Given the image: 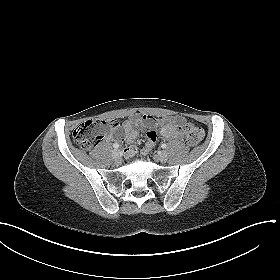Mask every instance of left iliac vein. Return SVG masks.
I'll use <instances>...</instances> for the list:
<instances>
[{
	"label": "left iliac vein",
	"instance_id": "4c4485c4",
	"mask_svg": "<svg viewBox=\"0 0 280 280\" xmlns=\"http://www.w3.org/2000/svg\"><path fill=\"white\" fill-rule=\"evenodd\" d=\"M157 159L162 162V163H165L167 160H168V155L165 151H162L161 153H159L157 155Z\"/></svg>",
	"mask_w": 280,
	"mask_h": 280
}]
</instances>
